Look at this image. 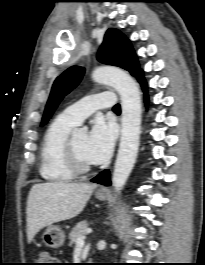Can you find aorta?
Returning <instances> with one entry per match:
<instances>
[{
    "mask_svg": "<svg viewBox=\"0 0 205 265\" xmlns=\"http://www.w3.org/2000/svg\"><path fill=\"white\" fill-rule=\"evenodd\" d=\"M92 77L98 83L112 86L122 101L121 139L112 178L113 187L119 193L137 158L142 114L141 93L135 80L115 67H98Z\"/></svg>",
    "mask_w": 205,
    "mask_h": 265,
    "instance_id": "aorta-1",
    "label": "aorta"
}]
</instances>
